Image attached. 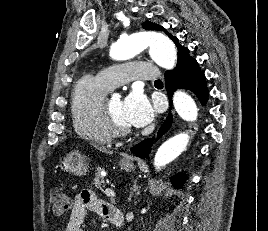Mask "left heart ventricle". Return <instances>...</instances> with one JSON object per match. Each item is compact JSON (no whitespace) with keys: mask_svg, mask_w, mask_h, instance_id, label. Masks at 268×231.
Listing matches in <instances>:
<instances>
[{"mask_svg":"<svg viewBox=\"0 0 268 231\" xmlns=\"http://www.w3.org/2000/svg\"><path fill=\"white\" fill-rule=\"evenodd\" d=\"M109 104L112 110L113 115L117 119V121L126 128H132L129 122L126 119L125 112H124V105L123 101L120 98H114L109 100Z\"/></svg>","mask_w":268,"mask_h":231,"instance_id":"1","label":"left heart ventricle"}]
</instances>
